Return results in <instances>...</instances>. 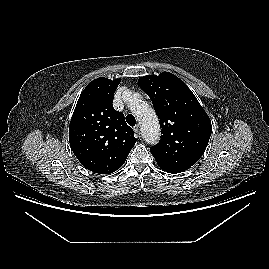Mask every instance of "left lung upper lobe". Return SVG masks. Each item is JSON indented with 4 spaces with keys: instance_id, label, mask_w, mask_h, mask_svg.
<instances>
[{
    "instance_id": "5c2ea615",
    "label": "left lung upper lobe",
    "mask_w": 269,
    "mask_h": 269,
    "mask_svg": "<svg viewBox=\"0 0 269 269\" xmlns=\"http://www.w3.org/2000/svg\"><path fill=\"white\" fill-rule=\"evenodd\" d=\"M149 95L161 127V140L150 151L163 167L186 170L207 147L211 121L192 91L174 74L146 75L138 80Z\"/></svg>"
}]
</instances>
